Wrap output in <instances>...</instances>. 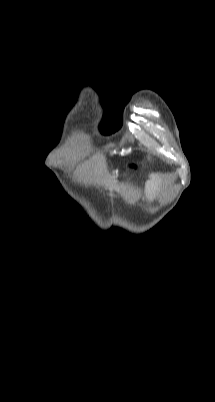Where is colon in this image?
Wrapping results in <instances>:
<instances>
[{"mask_svg":"<svg viewBox=\"0 0 215 402\" xmlns=\"http://www.w3.org/2000/svg\"><path fill=\"white\" fill-rule=\"evenodd\" d=\"M130 168H131V169H134V165H133V164H131V165H130Z\"/></svg>","mask_w":215,"mask_h":402,"instance_id":"1","label":"colon"}]
</instances>
